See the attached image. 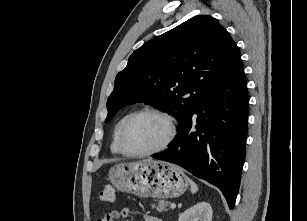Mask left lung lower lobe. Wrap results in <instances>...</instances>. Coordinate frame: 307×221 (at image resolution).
Masks as SVG:
<instances>
[{"mask_svg": "<svg viewBox=\"0 0 307 221\" xmlns=\"http://www.w3.org/2000/svg\"><path fill=\"white\" fill-rule=\"evenodd\" d=\"M248 104L239 57L227 76L197 103L170 147L154 158L177 164L215 185L232 209L245 158Z\"/></svg>", "mask_w": 307, "mask_h": 221, "instance_id": "obj_1", "label": "left lung lower lobe"}]
</instances>
